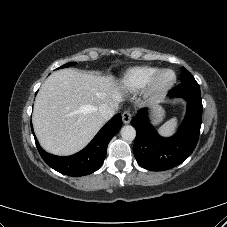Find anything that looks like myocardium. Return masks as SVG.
<instances>
[{"label": "myocardium", "instance_id": "obj_1", "mask_svg": "<svg viewBox=\"0 0 227 227\" xmlns=\"http://www.w3.org/2000/svg\"><path fill=\"white\" fill-rule=\"evenodd\" d=\"M167 73L172 75L168 81L163 80ZM176 82V74L171 69H160L147 85V96L151 99H157L173 87Z\"/></svg>", "mask_w": 227, "mask_h": 227}]
</instances>
